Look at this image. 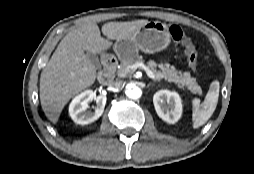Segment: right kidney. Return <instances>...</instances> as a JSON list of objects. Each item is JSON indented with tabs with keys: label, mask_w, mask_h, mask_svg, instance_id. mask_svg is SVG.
<instances>
[{
	"label": "right kidney",
	"mask_w": 254,
	"mask_h": 174,
	"mask_svg": "<svg viewBox=\"0 0 254 174\" xmlns=\"http://www.w3.org/2000/svg\"><path fill=\"white\" fill-rule=\"evenodd\" d=\"M92 100H95L97 104L95 111L86 112L88 103ZM106 100V96H96L92 90H86L72 100L69 105V115L77 124L86 125L92 123L103 114Z\"/></svg>",
	"instance_id": "ca27d5eb"
}]
</instances>
